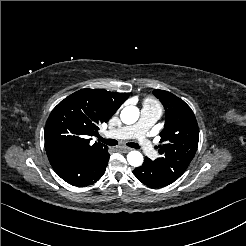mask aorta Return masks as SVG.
I'll return each mask as SVG.
<instances>
[{
    "label": "aorta",
    "mask_w": 246,
    "mask_h": 246,
    "mask_svg": "<svg viewBox=\"0 0 246 246\" xmlns=\"http://www.w3.org/2000/svg\"><path fill=\"white\" fill-rule=\"evenodd\" d=\"M139 109L136 106H126L122 109L120 118L124 124H133L139 118ZM128 163L133 167H139L143 163V155L139 151H131L127 155Z\"/></svg>",
    "instance_id": "aorta-1"
}]
</instances>
